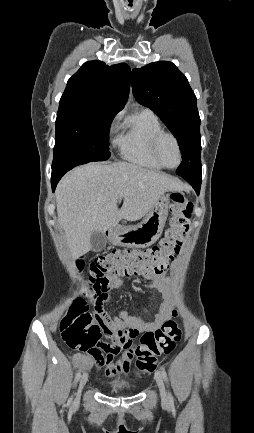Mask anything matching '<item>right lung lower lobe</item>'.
I'll return each mask as SVG.
<instances>
[{
    "label": "right lung lower lobe",
    "instance_id": "98d812e1",
    "mask_svg": "<svg viewBox=\"0 0 254 433\" xmlns=\"http://www.w3.org/2000/svg\"><path fill=\"white\" fill-rule=\"evenodd\" d=\"M88 163V160H82L74 153L66 152L58 155H54L52 164V176L51 185L53 192L55 191L56 185L61 177L70 169L77 165Z\"/></svg>",
    "mask_w": 254,
    "mask_h": 433
}]
</instances>
